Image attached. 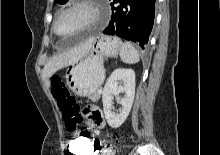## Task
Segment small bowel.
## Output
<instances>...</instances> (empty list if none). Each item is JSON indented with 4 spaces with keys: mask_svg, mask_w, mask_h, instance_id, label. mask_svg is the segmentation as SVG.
Instances as JSON below:
<instances>
[{
    "mask_svg": "<svg viewBox=\"0 0 220 155\" xmlns=\"http://www.w3.org/2000/svg\"><path fill=\"white\" fill-rule=\"evenodd\" d=\"M83 113H86L85 115L89 120L90 129L92 130L93 134L99 135L100 129L104 125V119L102 113L98 108V105H85V107L83 108ZM95 140L97 139H91V141L93 142V147H91V155L97 152L94 149Z\"/></svg>",
    "mask_w": 220,
    "mask_h": 155,
    "instance_id": "small-bowel-1",
    "label": "small bowel"
}]
</instances>
